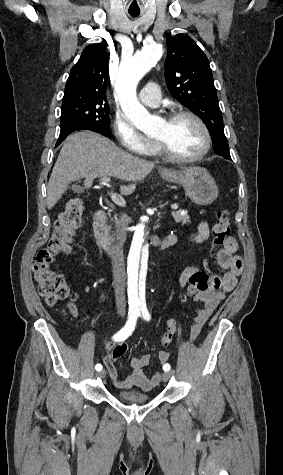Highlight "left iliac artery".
<instances>
[{
	"mask_svg": "<svg viewBox=\"0 0 283 475\" xmlns=\"http://www.w3.org/2000/svg\"><path fill=\"white\" fill-rule=\"evenodd\" d=\"M141 313H142V316H143V318H144L145 320H147V321L150 320L151 316H150V314H149V312H148V309L146 308V305L143 306V307H141ZM139 316H140V312H139ZM170 368H171V367H170V365H169L168 363H166V364L163 365V370H164L165 372L169 371Z\"/></svg>",
	"mask_w": 283,
	"mask_h": 475,
	"instance_id": "left-iliac-artery-1",
	"label": "left iliac artery"
}]
</instances>
